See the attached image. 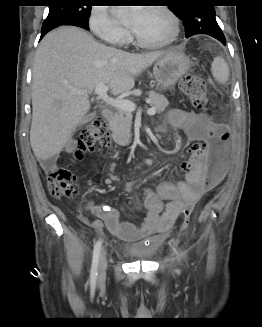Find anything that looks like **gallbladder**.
I'll list each match as a JSON object with an SVG mask.
<instances>
[{
	"label": "gallbladder",
	"mask_w": 262,
	"mask_h": 327,
	"mask_svg": "<svg viewBox=\"0 0 262 327\" xmlns=\"http://www.w3.org/2000/svg\"><path fill=\"white\" fill-rule=\"evenodd\" d=\"M92 114H86L82 119H81V122L80 124H84V123H87L88 121H90V119L92 118Z\"/></svg>",
	"instance_id": "bac80fb5"
}]
</instances>
